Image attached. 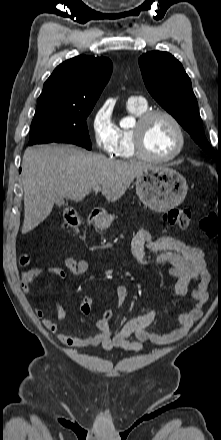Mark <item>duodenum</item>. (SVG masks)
I'll use <instances>...</instances> for the list:
<instances>
[{
	"label": "duodenum",
	"mask_w": 221,
	"mask_h": 440,
	"mask_svg": "<svg viewBox=\"0 0 221 440\" xmlns=\"http://www.w3.org/2000/svg\"><path fill=\"white\" fill-rule=\"evenodd\" d=\"M102 218H103V214L100 211L93 215L94 220H101Z\"/></svg>",
	"instance_id": "1"
}]
</instances>
